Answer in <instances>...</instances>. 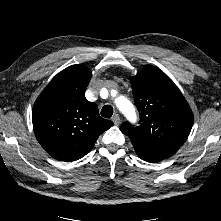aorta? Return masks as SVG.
<instances>
[{"mask_svg":"<svg viewBox=\"0 0 221 221\" xmlns=\"http://www.w3.org/2000/svg\"><path fill=\"white\" fill-rule=\"evenodd\" d=\"M123 102V103H122ZM117 105L122 111V113L129 119V120H135L136 119V113L134 106L125 98H120L117 101Z\"/></svg>","mask_w":221,"mask_h":221,"instance_id":"762f6f07","label":"aorta"}]
</instances>
